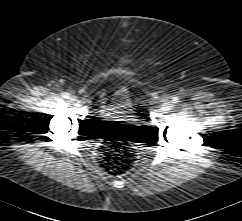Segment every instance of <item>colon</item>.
<instances>
[{
    "label": "colon",
    "instance_id": "colon-1",
    "mask_svg": "<svg viewBox=\"0 0 242 221\" xmlns=\"http://www.w3.org/2000/svg\"><path fill=\"white\" fill-rule=\"evenodd\" d=\"M98 164L106 173L120 176L130 171L137 162V153L132 145L120 140H109L100 145Z\"/></svg>",
    "mask_w": 242,
    "mask_h": 221
}]
</instances>
